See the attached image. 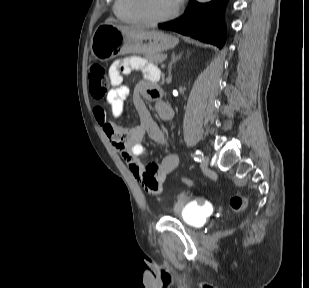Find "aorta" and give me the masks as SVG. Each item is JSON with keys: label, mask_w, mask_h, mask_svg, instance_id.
<instances>
[{"label": "aorta", "mask_w": 309, "mask_h": 288, "mask_svg": "<svg viewBox=\"0 0 309 288\" xmlns=\"http://www.w3.org/2000/svg\"><path fill=\"white\" fill-rule=\"evenodd\" d=\"M197 1L200 2V3H205V2H208L210 0H197Z\"/></svg>", "instance_id": "aorta-1"}]
</instances>
